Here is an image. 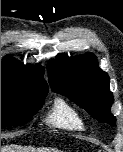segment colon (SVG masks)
I'll use <instances>...</instances> for the list:
<instances>
[{
	"label": "colon",
	"mask_w": 123,
	"mask_h": 152,
	"mask_svg": "<svg viewBox=\"0 0 123 152\" xmlns=\"http://www.w3.org/2000/svg\"><path fill=\"white\" fill-rule=\"evenodd\" d=\"M98 152H105V151H103V150H100V151H98Z\"/></svg>",
	"instance_id": "colon-1"
}]
</instances>
